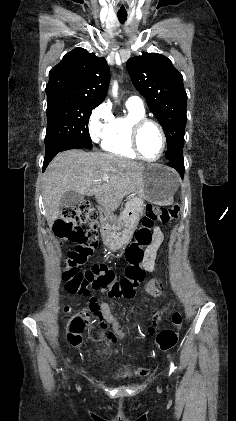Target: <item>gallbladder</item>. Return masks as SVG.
Returning <instances> with one entry per match:
<instances>
[{
	"label": "gallbladder",
	"mask_w": 236,
	"mask_h": 421,
	"mask_svg": "<svg viewBox=\"0 0 236 421\" xmlns=\"http://www.w3.org/2000/svg\"><path fill=\"white\" fill-rule=\"evenodd\" d=\"M83 198V194H80V192H76V190H67V192H64L59 208H64V206H72V204H78V202H81Z\"/></svg>",
	"instance_id": "bac80fb5"
}]
</instances>
